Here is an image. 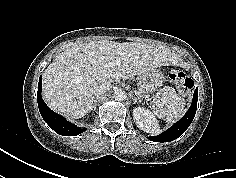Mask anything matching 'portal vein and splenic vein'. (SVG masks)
<instances>
[{"mask_svg": "<svg viewBox=\"0 0 236 178\" xmlns=\"http://www.w3.org/2000/svg\"><path fill=\"white\" fill-rule=\"evenodd\" d=\"M122 61V58L117 57L113 62H109L108 64H106V67H115L117 65H120Z\"/></svg>", "mask_w": 236, "mask_h": 178, "instance_id": "1", "label": "portal vein and splenic vein"}]
</instances>
